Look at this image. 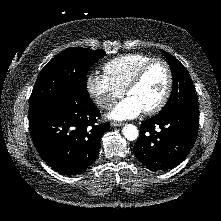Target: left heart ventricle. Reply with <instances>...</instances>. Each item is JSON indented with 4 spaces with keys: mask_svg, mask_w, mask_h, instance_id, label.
I'll list each match as a JSON object with an SVG mask.
<instances>
[{
    "mask_svg": "<svg viewBox=\"0 0 221 221\" xmlns=\"http://www.w3.org/2000/svg\"><path fill=\"white\" fill-rule=\"evenodd\" d=\"M166 84V70L162 64L156 63L147 70L141 82L129 92L128 96L134 99L144 111L159 102Z\"/></svg>",
    "mask_w": 221,
    "mask_h": 221,
    "instance_id": "left-heart-ventricle-1",
    "label": "left heart ventricle"
}]
</instances>
